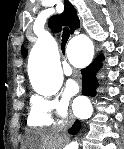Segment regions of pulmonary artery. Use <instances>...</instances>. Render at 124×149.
Instances as JSON below:
<instances>
[{"label": "pulmonary artery", "instance_id": "pulmonary-artery-1", "mask_svg": "<svg viewBox=\"0 0 124 149\" xmlns=\"http://www.w3.org/2000/svg\"><path fill=\"white\" fill-rule=\"evenodd\" d=\"M64 73L70 75L72 73V67L70 64H66L64 67Z\"/></svg>", "mask_w": 124, "mask_h": 149}]
</instances>
